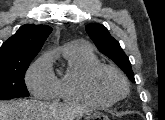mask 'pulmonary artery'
I'll list each match as a JSON object with an SVG mask.
<instances>
[{
  "label": "pulmonary artery",
  "mask_w": 165,
  "mask_h": 120,
  "mask_svg": "<svg viewBox=\"0 0 165 120\" xmlns=\"http://www.w3.org/2000/svg\"><path fill=\"white\" fill-rule=\"evenodd\" d=\"M67 46H79V47H85V45L81 42H72V43H69Z\"/></svg>",
  "instance_id": "e3ab8cb5"
}]
</instances>
